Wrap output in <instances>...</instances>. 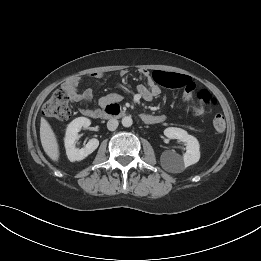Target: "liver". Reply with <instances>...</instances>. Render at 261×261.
Listing matches in <instances>:
<instances>
[{
  "label": "liver",
  "instance_id": "obj_1",
  "mask_svg": "<svg viewBox=\"0 0 261 261\" xmlns=\"http://www.w3.org/2000/svg\"><path fill=\"white\" fill-rule=\"evenodd\" d=\"M40 139L45 153L53 161H58L60 153L55 133L47 120L43 117L40 121Z\"/></svg>",
  "mask_w": 261,
  "mask_h": 261
}]
</instances>
